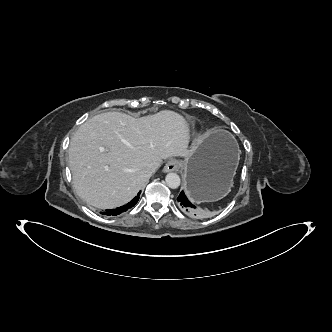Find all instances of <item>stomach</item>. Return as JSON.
<instances>
[{
  "instance_id": "stomach-1",
  "label": "stomach",
  "mask_w": 332,
  "mask_h": 332,
  "mask_svg": "<svg viewBox=\"0 0 332 332\" xmlns=\"http://www.w3.org/2000/svg\"><path fill=\"white\" fill-rule=\"evenodd\" d=\"M239 158V146L229 132L204 135L194 153L181 161L188 198L196 203L224 198L233 184Z\"/></svg>"
}]
</instances>
